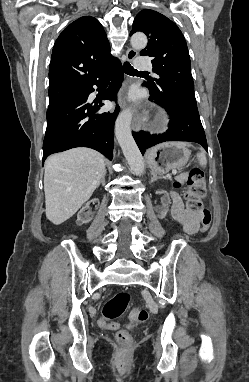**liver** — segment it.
<instances>
[{"mask_svg":"<svg viewBox=\"0 0 249 382\" xmlns=\"http://www.w3.org/2000/svg\"><path fill=\"white\" fill-rule=\"evenodd\" d=\"M105 171L103 155L85 147L48 157L44 173L47 219L60 225L71 218L91 197Z\"/></svg>","mask_w":249,"mask_h":382,"instance_id":"obj_1","label":"liver"}]
</instances>
